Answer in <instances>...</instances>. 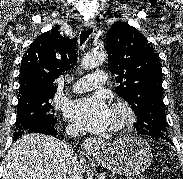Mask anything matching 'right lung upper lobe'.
Masks as SVG:
<instances>
[{
	"label": "right lung upper lobe",
	"instance_id": "right-lung-upper-lobe-1",
	"mask_svg": "<svg viewBox=\"0 0 183 179\" xmlns=\"http://www.w3.org/2000/svg\"><path fill=\"white\" fill-rule=\"evenodd\" d=\"M76 39L62 37L58 28L38 36L22 59L19 98L54 95V80L77 62Z\"/></svg>",
	"mask_w": 183,
	"mask_h": 179
}]
</instances>
